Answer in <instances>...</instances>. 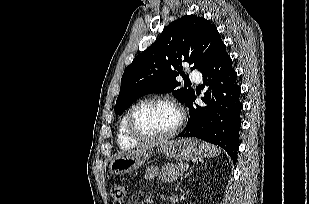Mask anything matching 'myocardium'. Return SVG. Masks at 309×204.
Returning <instances> with one entry per match:
<instances>
[{
  "instance_id": "f54148a6",
  "label": "myocardium",
  "mask_w": 309,
  "mask_h": 204,
  "mask_svg": "<svg viewBox=\"0 0 309 204\" xmlns=\"http://www.w3.org/2000/svg\"><path fill=\"white\" fill-rule=\"evenodd\" d=\"M165 104L170 107H172L177 115L178 119L175 124V126L169 130L166 133L160 134V135H150L142 132L141 130L138 129L136 126V116L140 112L141 109L144 107L150 105V104ZM184 112L182 108L173 100L166 98V97H153V98H148L145 100H142L141 102L137 103L130 111L128 118H127V125L126 129L129 134V136L137 141L140 142H154V141H161L167 138H170L178 133V131L181 129L184 123Z\"/></svg>"
}]
</instances>
